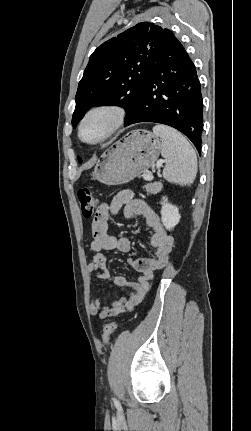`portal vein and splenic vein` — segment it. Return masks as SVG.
Listing matches in <instances>:
<instances>
[{
  "label": "portal vein and splenic vein",
  "instance_id": "1",
  "mask_svg": "<svg viewBox=\"0 0 251 431\" xmlns=\"http://www.w3.org/2000/svg\"><path fill=\"white\" fill-rule=\"evenodd\" d=\"M164 161H161V162H159L158 164H157V167L159 168L161 165H162V163H163ZM143 178L145 179V180H147V181H150V180H152L153 179V175H151V174H146V175H144L143 176Z\"/></svg>",
  "mask_w": 251,
  "mask_h": 431
}]
</instances>
